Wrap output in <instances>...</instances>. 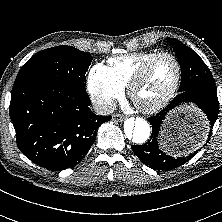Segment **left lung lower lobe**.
I'll return each mask as SVG.
<instances>
[{
  "label": "left lung lower lobe",
  "mask_w": 222,
  "mask_h": 222,
  "mask_svg": "<svg viewBox=\"0 0 222 222\" xmlns=\"http://www.w3.org/2000/svg\"><path fill=\"white\" fill-rule=\"evenodd\" d=\"M185 102L194 103L206 114L208 121L206 122L204 135L208 133V137H210L212 128L219 112L217 92L214 90H207L202 88H193L182 91L165 109H163L155 116L148 118L149 122L152 125V134L150 140H148V142L144 145L132 146L133 152L146 166L154 170L175 169L183 165L185 162L189 161L199 151L197 146L193 149L195 151L189 152L188 154H186L187 156L175 158L164 154L158 148L157 140L159 130L166 115L174 107ZM203 142L204 136L200 141V144Z\"/></svg>",
  "instance_id": "0a47b994"
}]
</instances>
